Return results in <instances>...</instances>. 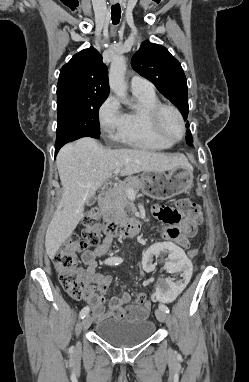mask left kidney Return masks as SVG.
Wrapping results in <instances>:
<instances>
[{"instance_id": "5707ae66", "label": "left kidney", "mask_w": 249, "mask_h": 382, "mask_svg": "<svg viewBox=\"0 0 249 382\" xmlns=\"http://www.w3.org/2000/svg\"><path fill=\"white\" fill-rule=\"evenodd\" d=\"M155 244L151 246L147 254H144V260H139L138 265L142 267L143 272L155 273L158 277L167 273L170 278L162 277L159 280L155 277L153 279L156 286L153 296L157 302H164L165 307H172L178 293H184L188 284H191L192 262L188 259L185 250H181V245L175 244L174 240H158ZM153 255L166 257V262L155 266Z\"/></svg>"}]
</instances>
